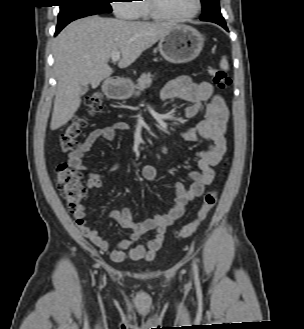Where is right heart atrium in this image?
Instances as JSON below:
<instances>
[{"mask_svg":"<svg viewBox=\"0 0 304 329\" xmlns=\"http://www.w3.org/2000/svg\"><path fill=\"white\" fill-rule=\"evenodd\" d=\"M133 0H114L113 10L115 14L123 19H135L136 18V7Z\"/></svg>","mask_w":304,"mask_h":329,"instance_id":"d8ad5b80","label":"right heart atrium"}]
</instances>
